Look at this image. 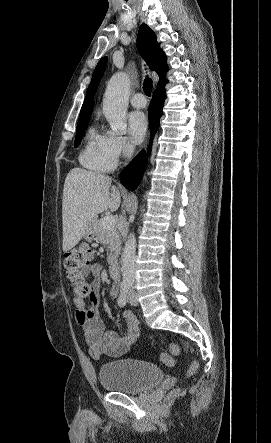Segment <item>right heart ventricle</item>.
<instances>
[{"label": "right heart ventricle", "instance_id": "e07e8e85", "mask_svg": "<svg viewBox=\"0 0 271 443\" xmlns=\"http://www.w3.org/2000/svg\"><path fill=\"white\" fill-rule=\"evenodd\" d=\"M79 160L84 167L99 172L111 171L115 167L106 151V136L99 134L95 127L86 133Z\"/></svg>", "mask_w": 271, "mask_h": 443}]
</instances>
